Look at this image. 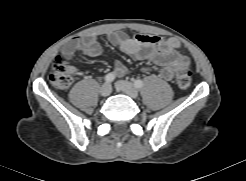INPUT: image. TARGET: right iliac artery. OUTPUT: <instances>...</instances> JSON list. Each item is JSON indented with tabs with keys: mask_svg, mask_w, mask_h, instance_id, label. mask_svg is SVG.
I'll list each match as a JSON object with an SVG mask.
<instances>
[{
	"mask_svg": "<svg viewBox=\"0 0 246 181\" xmlns=\"http://www.w3.org/2000/svg\"><path fill=\"white\" fill-rule=\"evenodd\" d=\"M114 79H115V75H114L113 73H108V74L105 76V78H104V80H105L107 83L113 82Z\"/></svg>",
	"mask_w": 246,
	"mask_h": 181,
	"instance_id": "right-iliac-artery-1",
	"label": "right iliac artery"
}]
</instances>
